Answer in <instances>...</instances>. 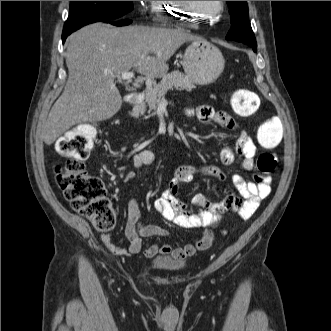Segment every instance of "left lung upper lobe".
I'll return each instance as SVG.
<instances>
[{
    "label": "left lung upper lobe",
    "instance_id": "5c2ea615",
    "mask_svg": "<svg viewBox=\"0 0 331 331\" xmlns=\"http://www.w3.org/2000/svg\"><path fill=\"white\" fill-rule=\"evenodd\" d=\"M231 14V29L226 39L235 40L248 45H256L254 33L249 23L248 5L246 1H227Z\"/></svg>",
    "mask_w": 331,
    "mask_h": 331
}]
</instances>
